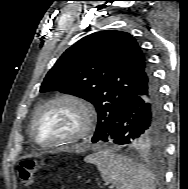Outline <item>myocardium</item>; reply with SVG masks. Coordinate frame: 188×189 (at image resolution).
Instances as JSON below:
<instances>
[{
  "mask_svg": "<svg viewBox=\"0 0 188 189\" xmlns=\"http://www.w3.org/2000/svg\"><path fill=\"white\" fill-rule=\"evenodd\" d=\"M57 104H69L76 107L81 117L80 127L72 136L68 138L51 142H42L36 136L37 121L45 109ZM95 121V113L89 102H87L84 98L78 95L71 93H62L48 99L42 105L39 106L31 121L30 134L34 142L42 147L49 148L65 146L78 142L86 136H88L95 126Z\"/></svg>",
  "mask_w": 188,
  "mask_h": 189,
  "instance_id": "obj_1",
  "label": "myocardium"
}]
</instances>
